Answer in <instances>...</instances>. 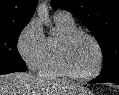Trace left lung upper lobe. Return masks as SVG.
Instances as JSON below:
<instances>
[{
  "label": "left lung upper lobe",
  "instance_id": "5c2ea615",
  "mask_svg": "<svg viewBox=\"0 0 119 95\" xmlns=\"http://www.w3.org/2000/svg\"><path fill=\"white\" fill-rule=\"evenodd\" d=\"M71 12L97 39L104 56L100 78L119 79V0H51Z\"/></svg>",
  "mask_w": 119,
  "mask_h": 95
}]
</instances>
